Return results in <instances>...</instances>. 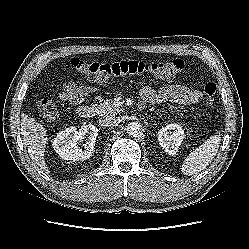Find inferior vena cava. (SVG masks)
Listing matches in <instances>:
<instances>
[{"label":"inferior vena cava","mask_w":249,"mask_h":249,"mask_svg":"<svg viewBox=\"0 0 249 249\" xmlns=\"http://www.w3.org/2000/svg\"><path fill=\"white\" fill-rule=\"evenodd\" d=\"M103 126L110 127V126H116L118 125V119L115 117H106L105 119L102 120Z\"/></svg>","instance_id":"inferior-vena-cava-1"}]
</instances>
